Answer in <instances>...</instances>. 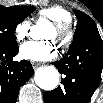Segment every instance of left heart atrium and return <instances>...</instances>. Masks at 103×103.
Listing matches in <instances>:
<instances>
[{
    "instance_id": "left-heart-atrium-1",
    "label": "left heart atrium",
    "mask_w": 103,
    "mask_h": 103,
    "mask_svg": "<svg viewBox=\"0 0 103 103\" xmlns=\"http://www.w3.org/2000/svg\"><path fill=\"white\" fill-rule=\"evenodd\" d=\"M19 54L23 59L37 62L54 58L57 50L54 40L44 42L30 41L21 45Z\"/></svg>"
}]
</instances>
